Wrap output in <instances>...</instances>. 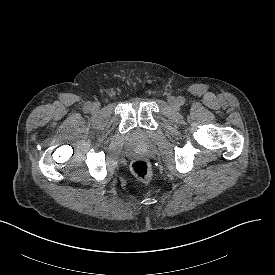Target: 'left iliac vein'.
<instances>
[{"instance_id": "left-iliac-vein-1", "label": "left iliac vein", "mask_w": 275, "mask_h": 275, "mask_svg": "<svg viewBox=\"0 0 275 275\" xmlns=\"http://www.w3.org/2000/svg\"><path fill=\"white\" fill-rule=\"evenodd\" d=\"M168 102L170 106L175 110L178 109L180 106L178 99H176L175 97H169Z\"/></svg>"}]
</instances>
